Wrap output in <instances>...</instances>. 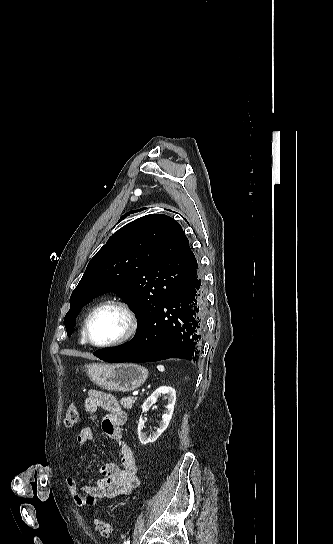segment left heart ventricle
<instances>
[{"mask_svg":"<svg viewBox=\"0 0 333 544\" xmlns=\"http://www.w3.org/2000/svg\"><path fill=\"white\" fill-rule=\"evenodd\" d=\"M127 327V318L116 306H105L92 317L89 335L96 343H106L119 338Z\"/></svg>","mask_w":333,"mask_h":544,"instance_id":"1","label":"left heart ventricle"}]
</instances>
